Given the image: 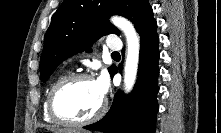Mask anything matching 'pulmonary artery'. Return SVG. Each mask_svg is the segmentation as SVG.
Here are the masks:
<instances>
[{
  "label": "pulmonary artery",
  "mask_w": 221,
  "mask_h": 133,
  "mask_svg": "<svg viewBox=\"0 0 221 133\" xmlns=\"http://www.w3.org/2000/svg\"><path fill=\"white\" fill-rule=\"evenodd\" d=\"M107 49L117 52L122 48V42L116 37V36H112L110 37L107 42Z\"/></svg>",
  "instance_id": "1"
}]
</instances>
